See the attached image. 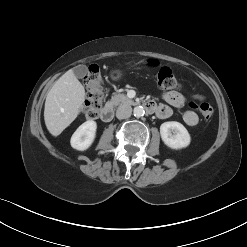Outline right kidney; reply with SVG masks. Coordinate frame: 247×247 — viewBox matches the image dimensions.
Masks as SVG:
<instances>
[{
    "label": "right kidney",
    "mask_w": 247,
    "mask_h": 247,
    "mask_svg": "<svg viewBox=\"0 0 247 247\" xmlns=\"http://www.w3.org/2000/svg\"><path fill=\"white\" fill-rule=\"evenodd\" d=\"M97 124L95 121H86L78 127L71 137V146L79 151L87 150L96 136Z\"/></svg>",
    "instance_id": "right-kidney-1"
}]
</instances>
